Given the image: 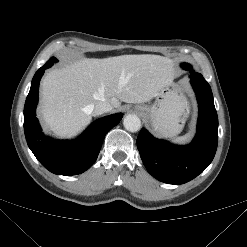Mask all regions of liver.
Masks as SVG:
<instances>
[{
	"mask_svg": "<svg viewBox=\"0 0 247 247\" xmlns=\"http://www.w3.org/2000/svg\"><path fill=\"white\" fill-rule=\"evenodd\" d=\"M173 62L159 55H121L85 58L47 73L42 81L40 114L45 127L69 138L87 126L89 105L108 102L145 103L171 79Z\"/></svg>",
	"mask_w": 247,
	"mask_h": 247,
	"instance_id": "1",
	"label": "liver"
}]
</instances>
